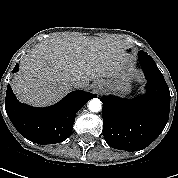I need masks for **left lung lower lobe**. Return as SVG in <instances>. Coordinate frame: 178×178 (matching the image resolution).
<instances>
[{
  "label": "left lung lower lobe",
  "instance_id": "obj_1",
  "mask_svg": "<svg viewBox=\"0 0 178 178\" xmlns=\"http://www.w3.org/2000/svg\"><path fill=\"white\" fill-rule=\"evenodd\" d=\"M147 79V93L125 100L103 96V130L109 146L138 151L150 145L163 131L169 119V87L155 61L146 52L138 54Z\"/></svg>",
  "mask_w": 178,
  "mask_h": 178
}]
</instances>
